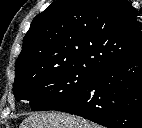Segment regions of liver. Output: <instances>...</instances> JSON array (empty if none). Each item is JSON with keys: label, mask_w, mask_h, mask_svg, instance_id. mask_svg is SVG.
Wrapping results in <instances>:
<instances>
[{"label": "liver", "mask_w": 142, "mask_h": 128, "mask_svg": "<svg viewBox=\"0 0 142 128\" xmlns=\"http://www.w3.org/2000/svg\"><path fill=\"white\" fill-rule=\"evenodd\" d=\"M20 128H99L90 121L66 113H34L26 118Z\"/></svg>", "instance_id": "liver-1"}]
</instances>
